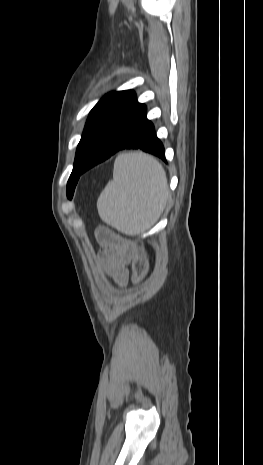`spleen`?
Instances as JSON below:
<instances>
[{
    "instance_id": "obj_1",
    "label": "spleen",
    "mask_w": 263,
    "mask_h": 465,
    "mask_svg": "<svg viewBox=\"0 0 263 465\" xmlns=\"http://www.w3.org/2000/svg\"><path fill=\"white\" fill-rule=\"evenodd\" d=\"M168 195L166 173L158 161L139 152L123 153L98 198V213L106 224L134 236L158 220Z\"/></svg>"
}]
</instances>
